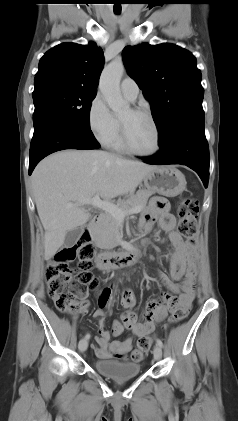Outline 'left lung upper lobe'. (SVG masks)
I'll use <instances>...</instances> for the list:
<instances>
[{"mask_svg":"<svg viewBox=\"0 0 238 421\" xmlns=\"http://www.w3.org/2000/svg\"><path fill=\"white\" fill-rule=\"evenodd\" d=\"M129 75L143 90L159 131V143L188 119L204 117L202 74L196 58L174 44L127 46Z\"/></svg>","mask_w":238,"mask_h":421,"instance_id":"1","label":"left lung upper lobe"}]
</instances>
